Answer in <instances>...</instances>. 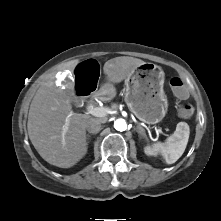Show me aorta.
<instances>
[{
    "instance_id": "1",
    "label": "aorta",
    "mask_w": 221,
    "mask_h": 221,
    "mask_svg": "<svg viewBox=\"0 0 221 221\" xmlns=\"http://www.w3.org/2000/svg\"><path fill=\"white\" fill-rule=\"evenodd\" d=\"M114 128L117 131H125L127 130V123L124 119H117L116 121H114Z\"/></svg>"
}]
</instances>
